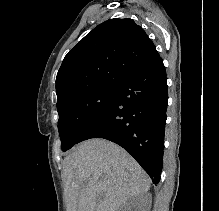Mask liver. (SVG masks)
Returning a JSON list of instances; mask_svg holds the SVG:
<instances>
[{
  "label": "liver",
  "instance_id": "liver-1",
  "mask_svg": "<svg viewBox=\"0 0 219 211\" xmlns=\"http://www.w3.org/2000/svg\"><path fill=\"white\" fill-rule=\"evenodd\" d=\"M62 177L67 211H120L151 185L126 149L102 137L86 139L66 155Z\"/></svg>",
  "mask_w": 219,
  "mask_h": 211
}]
</instances>
